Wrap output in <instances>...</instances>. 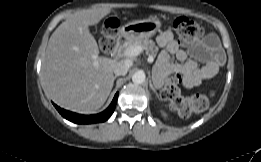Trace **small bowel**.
Here are the masks:
<instances>
[{
	"label": "small bowel",
	"instance_id": "small-bowel-1",
	"mask_svg": "<svg viewBox=\"0 0 261 162\" xmlns=\"http://www.w3.org/2000/svg\"><path fill=\"white\" fill-rule=\"evenodd\" d=\"M158 44L165 48L158 57V68L163 74L183 75L184 85L193 88L204 79H212L225 62V54L217 38L210 34L190 48V55L204 65L198 67L182 49L174 34L167 30L157 38ZM172 56L181 63L172 61Z\"/></svg>",
	"mask_w": 261,
	"mask_h": 162
}]
</instances>
